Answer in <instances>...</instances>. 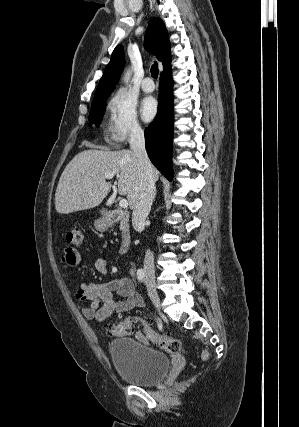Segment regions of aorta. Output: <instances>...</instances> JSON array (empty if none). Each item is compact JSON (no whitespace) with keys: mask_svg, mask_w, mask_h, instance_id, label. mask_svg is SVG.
Listing matches in <instances>:
<instances>
[{"mask_svg":"<svg viewBox=\"0 0 299 427\" xmlns=\"http://www.w3.org/2000/svg\"><path fill=\"white\" fill-rule=\"evenodd\" d=\"M129 76H130V72H127L126 77H125V81L128 82L129 80Z\"/></svg>","mask_w":299,"mask_h":427,"instance_id":"1","label":"aorta"}]
</instances>
